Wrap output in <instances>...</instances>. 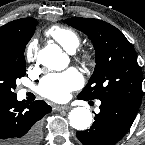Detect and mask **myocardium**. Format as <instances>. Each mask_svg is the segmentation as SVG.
I'll use <instances>...</instances> for the list:
<instances>
[{"label": "myocardium", "mask_w": 145, "mask_h": 145, "mask_svg": "<svg viewBox=\"0 0 145 145\" xmlns=\"http://www.w3.org/2000/svg\"><path fill=\"white\" fill-rule=\"evenodd\" d=\"M79 58L84 64L87 65H93L95 62V55L90 49H82L79 52Z\"/></svg>", "instance_id": "f54148a6"}]
</instances>
